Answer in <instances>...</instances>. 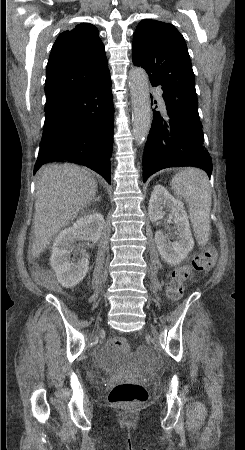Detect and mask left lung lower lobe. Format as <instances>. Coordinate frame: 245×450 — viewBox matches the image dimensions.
Instances as JSON below:
<instances>
[{
  "instance_id": "obj_1",
  "label": "left lung lower lobe",
  "mask_w": 245,
  "mask_h": 450,
  "mask_svg": "<svg viewBox=\"0 0 245 450\" xmlns=\"http://www.w3.org/2000/svg\"><path fill=\"white\" fill-rule=\"evenodd\" d=\"M150 82L152 86H161ZM162 90L167 115L162 116L158 111L153 114L143 159V182L159 170L179 166L200 167L210 178L212 160L204 146L199 114L164 87Z\"/></svg>"
}]
</instances>
